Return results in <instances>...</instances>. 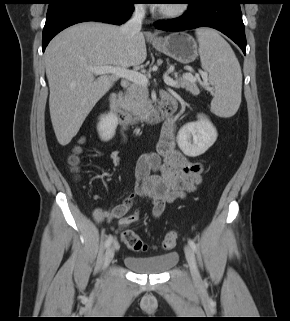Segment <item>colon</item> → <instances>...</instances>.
<instances>
[{"mask_svg":"<svg viewBox=\"0 0 290 321\" xmlns=\"http://www.w3.org/2000/svg\"><path fill=\"white\" fill-rule=\"evenodd\" d=\"M81 148L75 147L72 154L70 155L68 162L74 171L78 170L80 164V155H81ZM138 214L132 213L129 214L124 219V223L130 224L137 220ZM121 239L126 244V246L137 252L146 251L148 246L147 244L138 236V234L132 229H125L121 233ZM177 241V234L175 231H169L165 234L161 246L165 250H170L176 245Z\"/></svg>","mask_w":290,"mask_h":321,"instance_id":"obj_1","label":"colon"}]
</instances>
